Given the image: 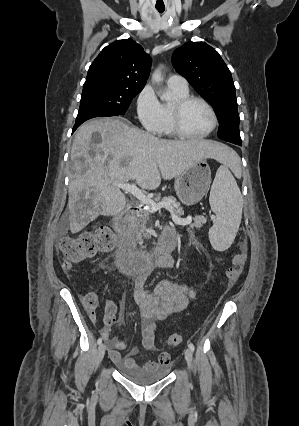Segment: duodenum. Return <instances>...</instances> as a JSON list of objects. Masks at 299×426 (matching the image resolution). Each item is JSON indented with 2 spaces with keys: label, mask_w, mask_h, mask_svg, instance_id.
<instances>
[{
  "label": "duodenum",
  "mask_w": 299,
  "mask_h": 426,
  "mask_svg": "<svg viewBox=\"0 0 299 426\" xmlns=\"http://www.w3.org/2000/svg\"><path fill=\"white\" fill-rule=\"evenodd\" d=\"M129 216L130 209H127L114 218V229L119 237L116 264L120 272L134 275L150 265L154 259L170 253L175 248L176 235L173 229L165 228L152 251L137 250L129 232Z\"/></svg>",
  "instance_id": "1"
}]
</instances>
